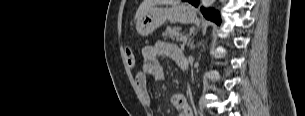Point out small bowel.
I'll list each match as a JSON object with an SVG mask.
<instances>
[{
	"label": "small bowel",
	"instance_id": "obj_1",
	"mask_svg": "<svg viewBox=\"0 0 305 116\" xmlns=\"http://www.w3.org/2000/svg\"><path fill=\"white\" fill-rule=\"evenodd\" d=\"M161 56H166L176 62L183 54L176 45L164 41H159L154 45L143 48L142 57L144 63L136 73L135 81L144 101L148 105L152 104V98L148 89L147 76H153L156 81H161L165 77L164 68L159 61ZM170 102L179 116H193L192 110L182 94H173Z\"/></svg>",
	"mask_w": 305,
	"mask_h": 116
}]
</instances>
